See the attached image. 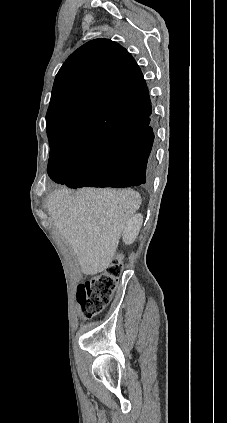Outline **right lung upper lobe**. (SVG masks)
I'll list each match as a JSON object with an SVG mask.
<instances>
[{
	"label": "right lung upper lobe",
	"mask_w": 227,
	"mask_h": 423,
	"mask_svg": "<svg viewBox=\"0 0 227 423\" xmlns=\"http://www.w3.org/2000/svg\"><path fill=\"white\" fill-rule=\"evenodd\" d=\"M148 97L142 72L130 53L108 39L78 48L56 75L46 115L49 143L80 152L122 139L132 129L98 110Z\"/></svg>",
	"instance_id": "1"
}]
</instances>
